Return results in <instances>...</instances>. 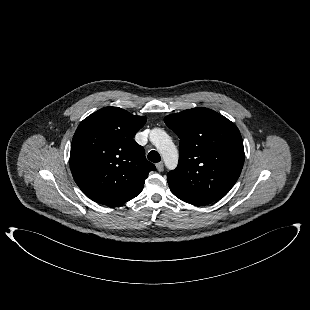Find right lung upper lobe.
Segmentation results:
<instances>
[{"label":"right lung upper lobe","instance_id":"cb5924a9","mask_svg":"<svg viewBox=\"0 0 310 310\" xmlns=\"http://www.w3.org/2000/svg\"><path fill=\"white\" fill-rule=\"evenodd\" d=\"M146 123L119 107H105L85 118L72 140L70 169L93 201L121 205L140 194L155 166L133 136Z\"/></svg>","mask_w":310,"mask_h":310}]
</instances>
